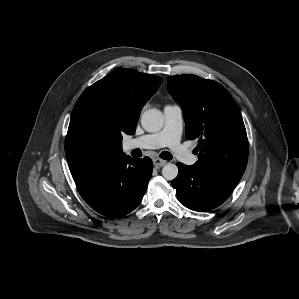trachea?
I'll use <instances>...</instances> for the list:
<instances>
[{"mask_svg": "<svg viewBox=\"0 0 299 299\" xmlns=\"http://www.w3.org/2000/svg\"><path fill=\"white\" fill-rule=\"evenodd\" d=\"M162 159L164 160H171L172 159V155L170 152L168 151H163L160 155H159Z\"/></svg>", "mask_w": 299, "mask_h": 299, "instance_id": "1", "label": "trachea"}]
</instances>
